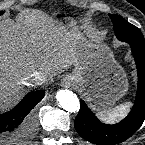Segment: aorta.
<instances>
[{
	"label": "aorta",
	"mask_w": 145,
	"mask_h": 145,
	"mask_svg": "<svg viewBox=\"0 0 145 145\" xmlns=\"http://www.w3.org/2000/svg\"><path fill=\"white\" fill-rule=\"evenodd\" d=\"M59 105L70 113H78L80 110V101L75 93L70 90H61L57 95Z\"/></svg>",
	"instance_id": "aorta-1"
}]
</instances>
